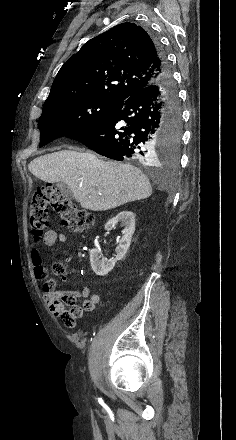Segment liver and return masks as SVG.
Wrapping results in <instances>:
<instances>
[{
	"instance_id": "6515ba94",
	"label": "liver",
	"mask_w": 236,
	"mask_h": 440,
	"mask_svg": "<svg viewBox=\"0 0 236 440\" xmlns=\"http://www.w3.org/2000/svg\"><path fill=\"white\" fill-rule=\"evenodd\" d=\"M28 169L45 182H64L81 207L92 211H106L152 194L149 180L139 169L103 161L91 152L49 153L31 161Z\"/></svg>"
}]
</instances>
